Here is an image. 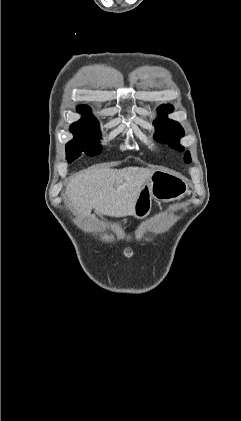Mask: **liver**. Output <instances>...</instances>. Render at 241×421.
Here are the masks:
<instances>
[{
	"mask_svg": "<svg viewBox=\"0 0 241 421\" xmlns=\"http://www.w3.org/2000/svg\"><path fill=\"white\" fill-rule=\"evenodd\" d=\"M151 173V169L143 167L93 168L70 179L66 196L74 210L83 217L90 216L92 208L101 215L130 216Z\"/></svg>",
	"mask_w": 241,
	"mask_h": 421,
	"instance_id": "6515ba94",
	"label": "liver"
}]
</instances>
